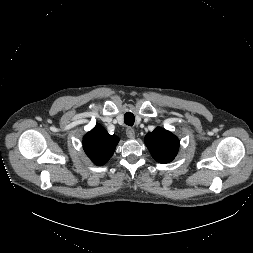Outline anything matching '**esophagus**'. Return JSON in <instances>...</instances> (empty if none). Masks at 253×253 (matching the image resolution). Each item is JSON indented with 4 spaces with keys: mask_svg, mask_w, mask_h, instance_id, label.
<instances>
[{
    "mask_svg": "<svg viewBox=\"0 0 253 253\" xmlns=\"http://www.w3.org/2000/svg\"><path fill=\"white\" fill-rule=\"evenodd\" d=\"M126 135H127V137L128 138H135V131H134V129H132V128H127L126 129Z\"/></svg>",
    "mask_w": 253,
    "mask_h": 253,
    "instance_id": "34e87169",
    "label": "esophagus"
}]
</instances>
